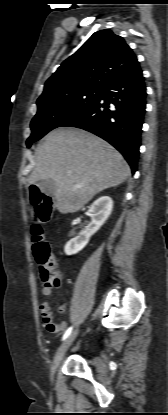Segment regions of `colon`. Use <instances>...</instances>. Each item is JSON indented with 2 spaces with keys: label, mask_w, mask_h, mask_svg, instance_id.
<instances>
[{
  "label": "colon",
  "mask_w": 168,
  "mask_h": 415,
  "mask_svg": "<svg viewBox=\"0 0 168 415\" xmlns=\"http://www.w3.org/2000/svg\"><path fill=\"white\" fill-rule=\"evenodd\" d=\"M33 208L32 250L39 266L41 278L46 285L54 286L59 282V273L51 247L45 239L42 224L51 216V202L40 190L31 191Z\"/></svg>",
  "instance_id": "colon-1"
}]
</instances>
